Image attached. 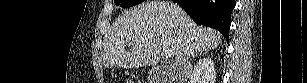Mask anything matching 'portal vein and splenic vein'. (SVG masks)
Here are the masks:
<instances>
[{
    "mask_svg": "<svg viewBox=\"0 0 307 83\" xmlns=\"http://www.w3.org/2000/svg\"><path fill=\"white\" fill-rule=\"evenodd\" d=\"M162 55H164L166 58H170L173 56L172 50L163 49Z\"/></svg>",
    "mask_w": 307,
    "mask_h": 83,
    "instance_id": "obj_1",
    "label": "portal vein and splenic vein"
}]
</instances>
